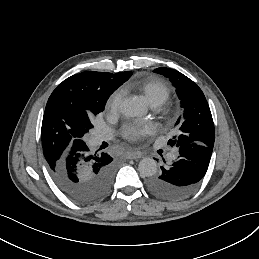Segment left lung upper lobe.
Returning <instances> with one entry per match:
<instances>
[{"label": "left lung upper lobe", "instance_id": "1", "mask_svg": "<svg viewBox=\"0 0 259 259\" xmlns=\"http://www.w3.org/2000/svg\"><path fill=\"white\" fill-rule=\"evenodd\" d=\"M154 72L162 74L170 79L176 88L177 95L184 109L183 120H177L179 135L173 136L168 145L183 148L192 143L213 147L215 129L211 111L201 89L191 79L182 73L160 67Z\"/></svg>", "mask_w": 259, "mask_h": 259}]
</instances>
